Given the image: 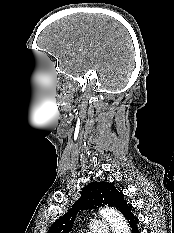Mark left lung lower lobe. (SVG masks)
<instances>
[{
	"label": "left lung lower lobe",
	"instance_id": "obj_1",
	"mask_svg": "<svg viewBox=\"0 0 174 233\" xmlns=\"http://www.w3.org/2000/svg\"><path fill=\"white\" fill-rule=\"evenodd\" d=\"M127 223L129 224L130 228H131V232L132 233H140L139 228H138V218L132 213V211L130 213H128L125 216Z\"/></svg>",
	"mask_w": 174,
	"mask_h": 233
}]
</instances>
